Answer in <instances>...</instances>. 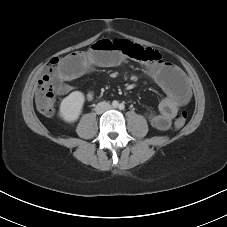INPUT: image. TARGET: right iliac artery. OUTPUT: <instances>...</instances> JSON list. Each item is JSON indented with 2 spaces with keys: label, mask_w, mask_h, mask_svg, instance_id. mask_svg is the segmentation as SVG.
I'll list each match as a JSON object with an SVG mask.
<instances>
[{
  "label": "right iliac artery",
  "mask_w": 227,
  "mask_h": 227,
  "mask_svg": "<svg viewBox=\"0 0 227 227\" xmlns=\"http://www.w3.org/2000/svg\"><path fill=\"white\" fill-rule=\"evenodd\" d=\"M112 105H113V107H117L118 106V102L117 101H113Z\"/></svg>",
  "instance_id": "obj_1"
}]
</instances>
